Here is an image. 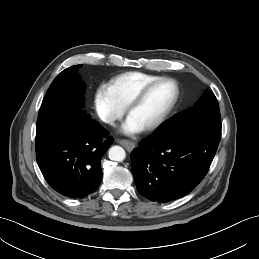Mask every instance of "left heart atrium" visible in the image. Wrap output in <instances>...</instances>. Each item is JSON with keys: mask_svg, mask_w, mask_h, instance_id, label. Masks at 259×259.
<instances>
[{"mask_svg": "<svg viewBox=\"0 0 259 259\" xmlns=\"http://www.w3.org/2000/svg\"><path fill=\"white\" fill-rule=\"evenodd\" d=\"M142 130H143V127L130 116H128L126 121L121 126V131L128 135L137 134Z\"/></svg>", "mask_w": 259, "mask_h": 259, "instance_id": "obj_1", "label": "left heart atrium"}]
</instances>
